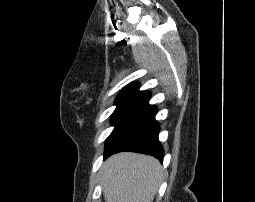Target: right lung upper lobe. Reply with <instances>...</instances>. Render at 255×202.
Instances as JSON below:
<instances>
[{
    "label": "right lung upper lobe",
    "mask_w": 255,
    "mask_h": 202,
    "mask_svg": "<svg viewBox=\"0 0 255 202\" xmlns=\"http://www.w3.org/2000/svg\"><path fill=\"white\" fill-rule=\"evenodd\" d=\"M138 88V84L129 85L118 95L115 102L117 108L113 114H138L150 106L148 101L151 94L147 91H139Z\"/></svg>",
    "instance_id": "cb5924a9"
}]
</instances>
